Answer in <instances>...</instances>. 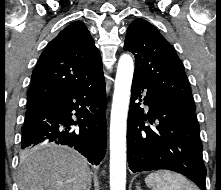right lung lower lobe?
Here are the masks:
<instances>
[{
    "mask_svg": "<svg viewBox=\"0 0 221 190\" xmlns=\"http://www.w3.org/2000/svg\"><path fill=\"white\" fill-rule=\"evenodd\" d=\"M104 75L28 108L21 127V148L52 142L73 147L92 164L106 152Z\"/></svg>",
    "mask_w": 221,
    "mask_h": 190,
    "instance_id": "obj_1",
    "label": "right lung lower lobe"
}]
</instances>
